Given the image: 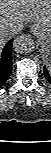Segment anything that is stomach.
Listing matches in <instances>:
<instances>
[{
	"label": "stomach",
	"instance_id": "0dacf381",
	"mask_svg": "<svg viewBox=\"0 0 51 153\" xmlns=\"http://www.w3.org/2000/svg\"><path fill=\"white\" fill-rule=\"evenodd\" d=\"M35 35L39 39V43L44 53H49L51 49V24L44 26L42 24H35Z\"/></svg>",
	"mask_w": 51,
	"mask_h": 153
}]
</instances>
